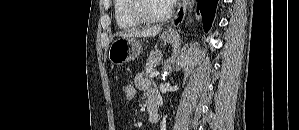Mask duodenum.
<instances>
[{
	"label": "duodenum",
	"instance_id": "410a0bca",
	"mask_svg": "<svg viewBox=\"0 0 299 130\" xmlns=\"http://www.w3.org/2000/svg\"><path fill=\"white\" fill-rule=\"evenodd\" d=\"M147 110L150 120H156L159 116V104L155 95L149 94L147 99Z\"/></svg>",
	"mask_w": 299,
	"mask_h": 130
}]
</instances>
